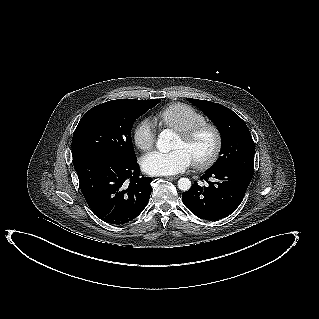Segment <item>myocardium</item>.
Returning a JSON list of instances; mask_svg holds the SVG:
<instances>
[{"mask_svg":"<svg viewBox=\"0 0 319 319\" xmlns=\"http://www.w3.org/2000/svg\"><path fill=\"white\" fill-rule=\"evenodd\" d=\"M204 131L211 133L213 138V147L205 158L192 160L193 166L201 170L211 167L218 160L221 154L223 139L220 130L212 123L203 122L177 132L178 136H180L184 141L189 142Z\"/></svg>","mask_w":319,"mask_h":319,"instance_id":"1","label":"myocardium"}]
</instances>
